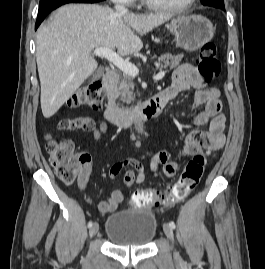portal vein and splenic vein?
<instances>
[{"mask_svg":"<svg viewBox=\"0 0 265 269\" xmlns=\"http://www.w3.org/2000/svg\"><path fill=\"white\" fill-rule=\"evenodd\" d=\"M93 54L97 57H104L124 73L136 77L139 74L138 68L129 61H125L119 54L115 53L109 48L101 47L95 48ZM165 76V71H160L153 77L155 81L161 80Z\"/></svg>","mask_w":265,"mask_h":269,"instance_id":"obj_1","label":"portal vein and splenic vein"}]
</instances>
